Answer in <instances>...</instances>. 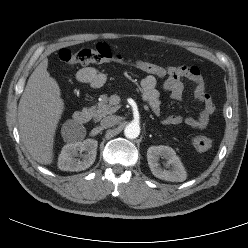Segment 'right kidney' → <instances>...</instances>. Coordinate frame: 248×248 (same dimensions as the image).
Wrapping results in <instances>:
<instances>
[{
	"instance_id": "right-kidney-1",
	"label": "right kidney",
	"mask_w": 248,
	"mask_h": 248,
	"mask_svg": "<svg viewBox=\"0 0 248 248\" xmlns=\"http://www.w3.org/2000/svg\"><path fill=\"white\" fill-rule=\"evenodd\" d=\"M98 142L93 139H86L83 142L67 143L61 150L58 157V168L63 171H82L89 168L96 159ZM82 152H85L82 154ZM78 153L81 160L76 159Z\"/></svg>"
}]
</instances>
